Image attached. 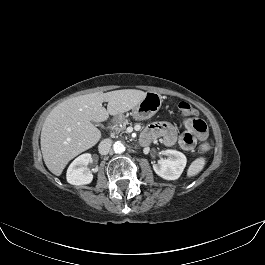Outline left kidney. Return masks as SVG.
Returning <instances> with one entry per match:
<instances>
[{"instance_id":"1","label":"left kidney","mask_w":265,"mask_h":265,"mask_svg":"<svg viewBox=\"0 0 265 265\" xmlns=\"http://www.w3.org/2000/svg\"><path fill=\"white\" fill-rule=\"evenodd\" d=\"M167 158H160L157 164L153 165L155 173L165 180L178 179L187 163L186 156L176 150L165 151Z\"/></svg>"}]
</instances>
